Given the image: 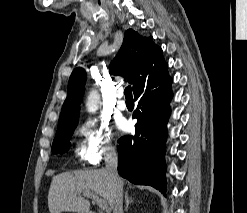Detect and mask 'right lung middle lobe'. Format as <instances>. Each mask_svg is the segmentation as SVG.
Masks as SVG:
<instances>
[{"mask_svg": "<svg viewBox=\"0 0 247 213\" xmlns=\"http://www.w3.org/2000/svg\"><path fill=\"white\" fill-rule=\"evenodd\" d=\"M76 126H67L57 129L55 139L52 144L53 153H64L69 149V140Z\"/></svg>", "mask_w": 247, "mask_h": 213, "instance_id": "obj_1", "label": "right lung middle lobe"}]
</instances>
